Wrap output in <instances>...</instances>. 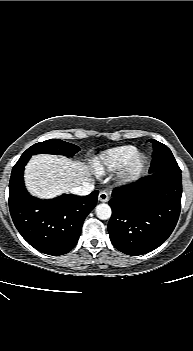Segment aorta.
I'll use <instances>...</instances> for the list:
<instances>
[{"instance_id":"762f6f07","label":"aorta","mask_w":193,"mask_h":351,"mask_svg":"<svg viewBox=\"0 0 193 351\" xmlns=\"http://www.w3.org/2000/svg\"><path fill=\"white\" fill-rule=\"evenodd\" d=\"M96 216L101 220H107L112 215L111 207L108 204L101 203L96 206Z\"/></svg>"}]
</instances>
